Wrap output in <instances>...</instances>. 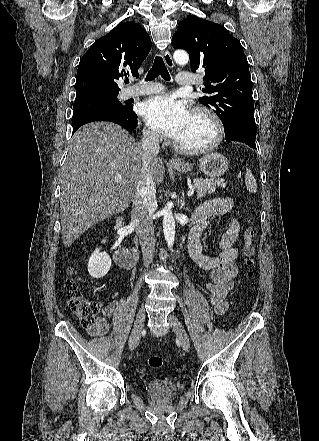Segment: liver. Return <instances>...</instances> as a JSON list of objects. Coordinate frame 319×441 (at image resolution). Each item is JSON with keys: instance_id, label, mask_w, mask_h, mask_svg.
I'll list each match as a JSON object with an SVG mask.
<instances>
[{"instance_id": "liver-1", "label": "liver", "mask_w": 319, "mask_h": 441, "mask_svg": "<svg viewBox=\"0 0 319 441\" xmlns=\"http://www.w3.org/2000/svg\"><path fill=\"white\" fill-rule=\"evenodd\" d=\"M149 170L155 184H161L163 162L150 160ZM143 176V148L125 129L111 122L80 127L60 174L63 245L71 246L94 224L127 209Z\"/></svg>"}]
</instances>
